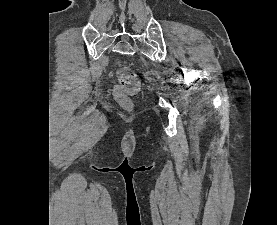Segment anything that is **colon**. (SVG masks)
<instances>
[{
	"instance_id": "5ec220e1",
	"label": "colon",
	"mask_w": 277,
	"mask_h": 225,
	"mask_svg": "<svg viewBox=\"0 0 277 225\" xmlns=\"http://www.w3.org/2000/svg\"><path fill=\"white\" fill-rule=\"evenodd\" d=\"M116 74L118 84L113 90V95L123 109L130 111L133 109L130 95L140 90V81L136 72L127 66L118 65Z\"/></svg>"
}]
</instances>
